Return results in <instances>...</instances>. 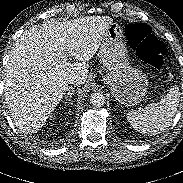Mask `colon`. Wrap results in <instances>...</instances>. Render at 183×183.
Listing matches in <instances>:
<instances>
[{
	"label": "colon",
	"instance_id": "colon-1",
	"mask_svg": "<svg viewBox=\"0 0 183 183\" xmlns=\"http://www.w3.org/2000/svg\"><path fill=\"white\" fill-rule=\"evenodd\" d=\"M125 35L129 44L143 61L157 69L164 66L167 58L166 46L152 34L148 25L129 24L125 28Z\"/></svg>",
	"mask_w": 183,
	"mask_h": 183
}]
</instances>
